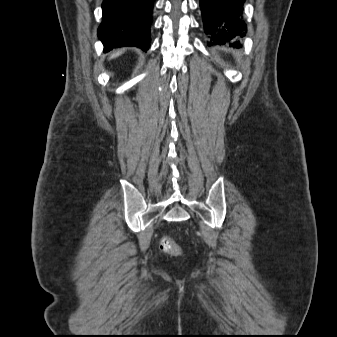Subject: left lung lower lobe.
Instances as JSON below:
<instances>
[{
    "label": "left lung lower lobe",
    "mask_w": 337,
    "mask_h": 337,
    "mask_svg": "<svg viewBox=\"0 0 337 337\" xmlns=\"http://www.w3.org/2000/svg\"><path fill=\"white\" fill-rule=\"evenodd\" d=\"M244 1L200 0L205 32L211 36L214 44L233 42L230 46L240 47L239 39L244 37L247 31L242 19Z\"/></svg>",
    "instance_id": "1"
}]
</instances>
